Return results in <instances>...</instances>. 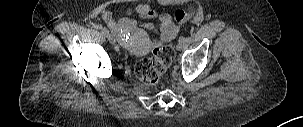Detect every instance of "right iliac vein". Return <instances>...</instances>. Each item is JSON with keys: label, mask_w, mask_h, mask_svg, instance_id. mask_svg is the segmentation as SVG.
<instances>
[{"label": "right iliac vein", "mask_w": 303, "mask_h": 127, "mask_svg": "<svg viewBox=\"0 0 303 127\" xmlns=\"http://www.w3.org/2000/svg\"><path fill=\"white\" fill-rule=\"evenodd\" d=\"M106 38L108 39V41L111 43V44H114L115 43V40L113 38V36L111 34H107L105 35Z\"/></svg>", "instance_id": "63e3f726"}]
</instances>
